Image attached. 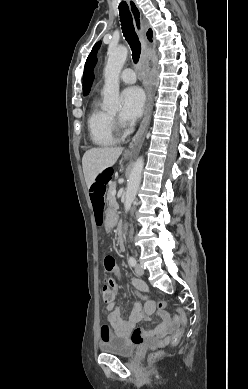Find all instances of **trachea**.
Here are the masks:
<instances>
[{
    "label": "trachea",
    "mask_w": 248,
    "mask_h": 389,
    "mask_svg": "<svg viewBox=\"0 0 248 389\" xmlns=\"http://www.w3.org/2000/svg\"><path fill=\"white\" fill-rule=\"evenodd\" d=\"M119 15L123 35L128 44L130 45L133 61L134 63H137L141 54V43L135 32L133 19L129 7L124 1L121 2L119 5Z\"/></svg>",
    "instance_id": "trachea-1"
}]
</instances>
